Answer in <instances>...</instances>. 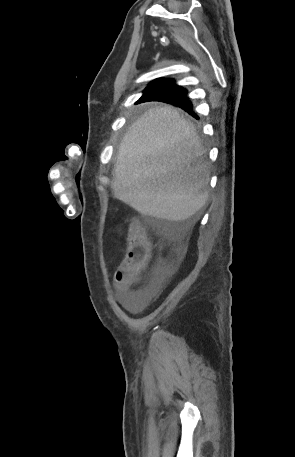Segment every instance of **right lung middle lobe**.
Instances as JSON below:
<instances>
[{
	"instance_id": "right-lung-middle-lobe-1",
	"label": "right lung middle lobe",
	"mask_w": 295,
	"mask_h": 457,
	"mask_svg": "<svg viewBox=\"0 0 295 457\" xmlns=\"http://www.w3.org/2000/svg\"><path fill=\"white\" fill-rule=\"evenodd\" d=\"M179 94V92L174 91L172 89H161L158 91V97L155 100L164 101L171 97H177L179 96Z\"/></svg>"
}]
</instances>
